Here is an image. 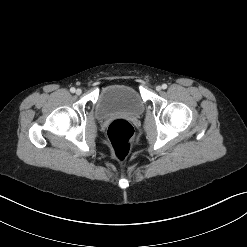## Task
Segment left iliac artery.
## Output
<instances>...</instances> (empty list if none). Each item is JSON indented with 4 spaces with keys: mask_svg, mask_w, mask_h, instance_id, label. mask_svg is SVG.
<instances>
[{
    "mask_svg": "<svg viewBox=\"0 0 247 247\" xmlns=\"http://www.w3.org/2000/svg\"><path fill=\"white\" fill-rule=\"evenodd\" d=\"M162 88H163V89H166V88H167V85H166V84H163V85H162Z\"/></svg>",
    "mask_w": 247,
    "mask_h": 247,
    "instance_id": "obj_1",
    "label": "left iliac artery"
}]
</instances>
